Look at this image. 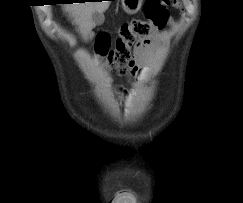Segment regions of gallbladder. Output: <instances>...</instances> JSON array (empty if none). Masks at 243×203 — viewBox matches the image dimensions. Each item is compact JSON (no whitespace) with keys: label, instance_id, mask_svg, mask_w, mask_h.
<instances>
[{"label":"gallbladder","instance_id":"bac80fb5","mask_svg":"<svg viewBox=\"0 0 243 203\" xmlns=\"http://www.w3.org/2000/svg\"><path fill=\"white\" fill-rule=\"evenodd\" d=\"M92 22L94 25H101L104 22V16L102 13L94 12L92 14Z\"/></svg>","mask_w":243,"mask_h":203}]
</instances>
